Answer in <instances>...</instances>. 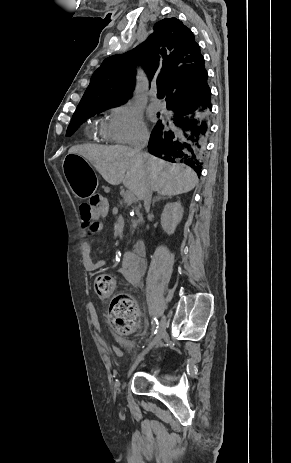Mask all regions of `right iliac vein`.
Returning a JSON list of instances; mask_svg holds the SVG:
<instances>
[{
	"mask_svg": "<svg viewBox=\"0 0 291 463\" xmlns=\"http://www.w3.org/2000/svg\"><path fill=\"white\" fill-rule=\"evenodd\" d=\"M166 334V317L163 315L162 318H161V321H160V325H159V328H158V331H157V334L153 340V342L148 346V348L146 350H144L136 359V361L134 362V364L131 366L129 372H128V376H130L132 374V372L134 371V369L136 368V366L143 360L144 356L146 353H148V351H150L153 347H155L156 345L159 344V342L161 341V339L165 336Z\"/></svg>",
	"mask_w": 291,
	"mask_h": 463,
	"instance_id": "obj_1",
	"label": "right iliac vein"
}]
</instances>
